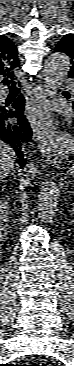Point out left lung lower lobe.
Returning a JSON list of instances; mask_svg holds the SVG:
<instances>
[{"mask_svg":"<svg viewBox=\"0 0 74 366\" xmlns=\"http://www.w3.org/2000/svg\"><path fill=\"white\" fill-rule=\"evenodd\" d=\"M70 78H73V77H70ZM64 96L67 97V98H69V94L68 93H64ZM72 103H73V109H74V97H73ZM73 126H74V119H73Z\"/></svg>","mask_w":74,"mask_h":366,"instance_id":"obj_1","label":"left lung lower lobe"}]
</instances>
